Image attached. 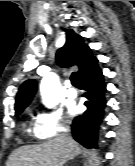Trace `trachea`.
I'll return each instance as SVG.
<instances>
[{
	"mask_svg": "<svg viewBox=\"0 0 135 166\" xmlns=\"http://www.w3.org/2000/svg\"><path fill=\"white\" fill-rule=\"evenodd\" d=\"M70 80H71L72 85H74V86L80 85V82H79V79H78L76 73L73 72L71 74Z\"/></svg>",
	"mask_w": 135,
	"mask_h": 166,
	"instance_id": "trachea-1",
	"label": "trachea"
}]
</instances>
